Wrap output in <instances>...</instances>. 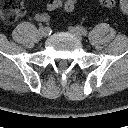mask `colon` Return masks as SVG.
<instances>
[{"label":"colon","instance_id":"colon-1","mask_svg":"<svg viewBox=\"0 0 128 128\" xmlns=\"http://www.w3.org/2000/svg\"><path fill=\"white\" fill-rule=\"evenodd\" d=\"M103 7L111 8L116 4V0H97ZM120 8L128 14V0H120ZM76 7V0H66L64 9L73 12ZM24 11L23 0H0V18L7 23L14 22Z\"/></svg>","mask_w":128,"mask_h":128}]
</instances>
